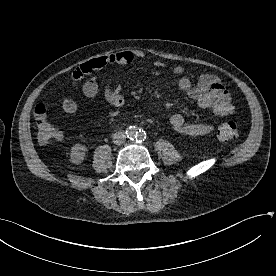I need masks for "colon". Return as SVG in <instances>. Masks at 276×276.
<instances>
[{"instance_id":"colon-1","label":"colon","mask_w":276,"mask_h":276,"mask_svg":"<svg viewBox=\"0 0 276 276\" xmlns=\"http://www.w3.org/2000/svg\"><path fill=\"white\" fill-rule=\"evenodd\" d=\"M61 108L66 113H74L75 102L71 99H64ZM35 123L38 131V139L43 144H49L61 140L62 133L49 121L44 104H39L35 108ZM239 136L237 126L233 122L221 124L217 130V137L224 142H233Z\"/></svg>"}]
</instances>
